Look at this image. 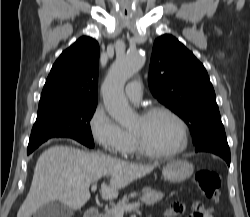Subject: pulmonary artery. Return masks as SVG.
<instances>
[{"label":"pulmonary artery","mask_w":250,"mask_h":217,"mask_svg":"<svg viewBox=\"0 0 250 217\" xmlns=\"http://www.w3.org/2000/svg\"><path fill=\"white\" fill-rule=\"evenodd\" d=\"M125 93L130 101L138 103L142 99L141 83L139 81L129 82L126 86Z\"/></svg>","instance_id":"obj_1"}]
</instances>
